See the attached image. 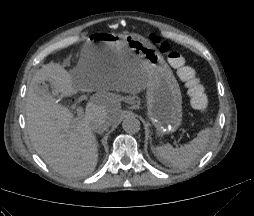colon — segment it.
<instances>
[{
    "label": "colon",
    "instance_id": "obj_1",
    "mask_svg": "<svg viewBox=\"0 0 254 216\" xmlns=\"http://www.w3.org/2000/svg\"><path fill=\"white\" fill-rule=\"evenodd\" d=\"M150 39L160 45V49L167 56L170 65L177 70L180 80L187 89L192 107L197 111H204L208 106V99L196 71L187 64L181 53L171 50L169 43L162 41L158 34L151 33Z\"/></svg>",
    "mask_w": 254,
    "mask_h": 216
}]
</instances>
